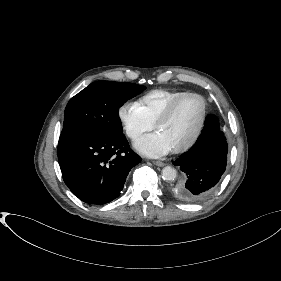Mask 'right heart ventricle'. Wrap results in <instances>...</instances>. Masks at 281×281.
<instances>
[{"instance_id": "e07e8e85", "label": "right heart ventricle", "mask_w": 281, "mask_h": 281, "mask_svg": "<svg viewBox=\"0 0 281 281\" xmlns=\"http://www.w3.org/2000/svg\"><path fill=\"white\" fill-rule=\"evenodd\" d=\"M186 92L168 90V89H155L143 94L138 99V105L141 107L147 119L154 123L158 114L175 98L181 96Z\"/></svg>"}]
</instances>
